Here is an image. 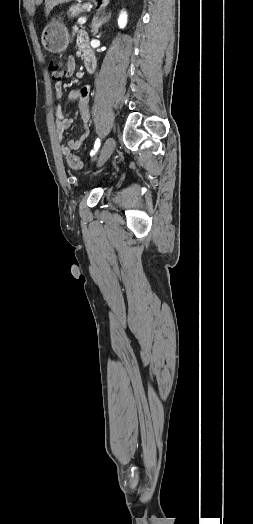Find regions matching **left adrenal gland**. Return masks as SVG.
Instances as JSON below:
<instances>
[{
    "mask_svg": "<svg viewBox=\"0 0 253 524\" xmlns=\"http://www.w3.org/2000/svg\"><path fill=\"white\" fill-rule=\"evenodd\" d=\"M110 17H111V13H109L108 15H102L101 17L96 16V17L93 18V21H92V24H91V28H92V33H93L94 36L98 33L99 28L104 23H106L109 20Z\"/></svg>",
    "mask_w": 253,
    "mask_h": 524,
    "instance_id": "1",
    "label": "left adrenal gland"
}]
</instances>
